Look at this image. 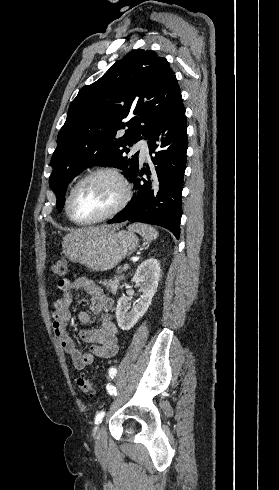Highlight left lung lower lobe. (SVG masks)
<instances>
[{"mask_svg":"<svg viewBox=\"0 0 279 490\" xmlns=\"http://www.w3.org/2000/svg\"><path fill=\"white\" fill-rule=\"evenodd\" d=\"M150 154L156 169L155 183L150 178L149 166L139 165L130 179L134 196L129 204L108 221L126 220L162 226L179 239L182 215V188L188 147L186 116L182 98L151 128L147 136ZM166 147L167 150L155 152ZM143 174L147 179L140 178Z\"/></svg>","mask_w":279,"mask_h":490,"instance_id":"obj_1","label":"left lung lower lobe"}]
</instances>
